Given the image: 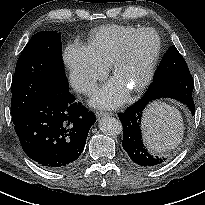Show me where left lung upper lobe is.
<instances>
[{"label":"left lung upper lobe","instance_id":"5c2ea615","mask_svg":"<svg viewBox=\"0 0 205 205\" xmlns=\"http://www.w3.org/2000/svg\"><path fill=\"white\" fill-rule=\"evenodd\" d=\"M190 73L188 66L176 47L171 46L166 52L154 76V81L177 74Z\"/></svg>","mask_w":205,"mask_h":205}]
</instances>
